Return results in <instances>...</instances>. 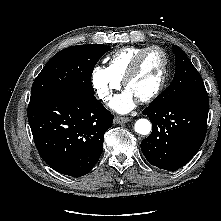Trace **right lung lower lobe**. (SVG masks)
Instances as JSON below:
<instances>
[{"instance_id": "98d812e1", "label": "right lung lower lobe", "mask_w": 221, "mask_h": 221, "mask_svg": "<svg viewBox=\"0 0 221 221\" xmlns=\"http://www.w3.org/2000/svg\"><path fill=\"white\" fill-rule=\"evenodd\" d=\"M27 114L42 159L72 177L94 167L114 117L94 95L44 97L30 101Z\"/></svg>"}]
</instances>
